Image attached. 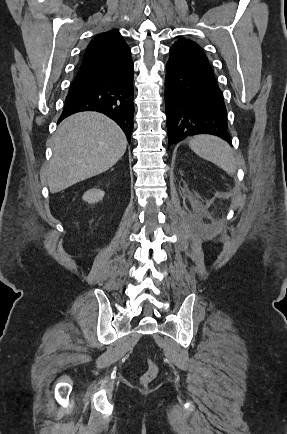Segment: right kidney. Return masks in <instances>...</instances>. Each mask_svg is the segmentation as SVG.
Listing matches in <instances>:
<instances>
[{"label": "right kidney", "mask_w": 287, "mask_h": 434, "mask_svg": "<svg viewBox=\"0 0 287 434\" xmlns=\"http://www.w3.org/2000/svg\"><path fill=\"white\" fill-rule=\"evenodd\" d=\"M105 193L104 191L100 190V189H90L88 191H86L82 197V199L88 203H97L99 201H101L104 197Z\"/></svg>", "instance_id": "ca27d5eb"}]
</instances>
